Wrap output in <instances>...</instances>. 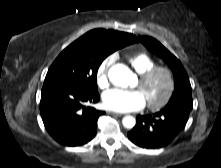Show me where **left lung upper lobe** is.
<instances>
[{
    "mask_svg": "<svg viewBox=\"0 0 221 168\" xmlns=\"http://www.w3.org/2000/svg\"><path fill=\"white\" fill-rule=\"evenodd\" d=\"M139 39L150 52L161 57L173 72L175 90L166 107L179 104L193 106L190 81L181 62L154 38L140 36Z\"/></svg>",
    "mask_w": 221,
    "mask_h": 168,
    "instance_id": "left-lung-upper-lobe-1",
    "label": "left lung upper lobe"
}]
</instances>
